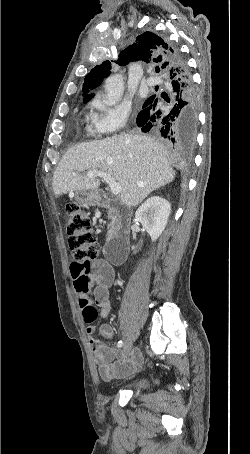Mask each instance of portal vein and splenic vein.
Masks as SVG:
<instances>
[{"label": "portal vein and splenic vein", "mask_w": 250, "mask_h": 454, "mask_svg": "<svg viewBox=\"0 0 250 454\" xmlns=\"http://www.w3.org/2000/svg\"><path fill=\"white\" fill-rule=\"evenodd\" d=\"M74 176H77L76 173H73ZM88 178H95V177H100L105 181L108 186L110 187L111 193L113 195H118L121 192V186L119 183H117L114 178H112L109 174L99 171V170H91L87 173Z\"/></svg>", "instance_id": "portal-vein-and-splenic-vein-1"}]
</instances>
